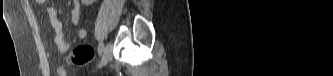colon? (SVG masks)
<instances>
[{
    "instance_id": "colon-1",
    "label": "colon",
    "mask_w": 333,
    "mask_h": 76,
    "mask_svg": "<svg viewBox=\"0 0 333 76\" xmlns=\"http://www.w3.org/2000/svg\"><path fill=\"white\" fill-rule=\"evenodd\" d=\"M94 58V49L88 44L78 46L67 58V61L75 65H86Z\"/></svg>"
}]
</instances>
